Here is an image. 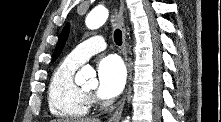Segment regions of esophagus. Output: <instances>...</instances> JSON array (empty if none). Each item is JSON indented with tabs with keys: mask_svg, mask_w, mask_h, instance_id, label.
<instances>
[{
	"mask_svg": "<svg viewBox=\"0 0 221 122\" xmlns=\"http://www.w3.org/2000/svg\"><path fill=\"white\" fill-rule=\"evenodd\" d=\"M124 11H125V4L124 1H120L119 4V12H118V23H119V27L121 29L122 32V52L124 55V59H125V63L127 66V72H128V82H129V78H130V61H129V56H128V43H127V38H126V27H125V21H124ZM127 89H128V85L126 88V92L125 95L122 99V101L120 102L119 107L117 108V110L115 111V113L111 116V118L108 120V122H119L122 112H123V108H124V104H125V100H126V95H127Z\"/></svg>",
	"mask_w": 221,
	"mask_h": 122,
	"instance_id": "1",
	"label": "esophagus"
}]
</instances>
